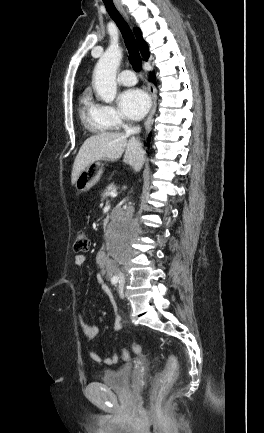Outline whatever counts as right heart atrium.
<instances>
[{
	"label": "right heart atrium",
	"mask_w": 264,
	"mask_h": 433,
	"mask_svg": "<svg viewBox=\"0 0 264 433\" xmlns=\"http://www.w3.org/2000/svg\"><path fill=\"white\" fill-rule=\"evenodd\" d=\"M102 120L110 127L118 128L124 124L123 117L116 108L109 104H97Z\"/></svg>",
	"instance_id": "1"
}]
</instances>
